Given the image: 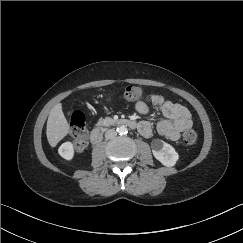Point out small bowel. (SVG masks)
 I'll return each mask as SVG.
<instances>
[{
	"label": "small bowel",
	"mask_w": 243,
	"mask_h": 243,
	"mask_svg": "<svg viewBox=\"0 0 243 243\" xmlns=\"http://www.w3.org/2000/svg\"><path fill=\"white\" fill-rule=\"evenodd\" d=\"M150 107L159 108L164 115L165 119L157 123L156 131L166 139L178 140L181 133L192 126L189 110L160 93L151 92L135 103V109L142 114H147ZM138 131L142 136L150 137L153 133V126L149 121H141L138 123Z\"/></svg>",
	"instance_id": "obj_1"
}]
</instances>
